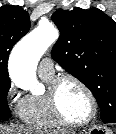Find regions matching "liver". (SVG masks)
I'll use <instances>...</instances> for the list:
<instances>
[{
    "mask_svg": "<svg viewBox=\"0 0 116 134\" xmlns=\"http://www.w3.org/2000/svg\"><path fill=\"white\" fill-rule=\"evenodd\" d=\"M0 134H39L33 133L31 128L21 126H2L0 125Z\"/></svg>",
    "mask_w": 116,
    "mask_h": 134,
    "instance_id": "6515ba94",
    "label": "liver"
}]
</instances>
